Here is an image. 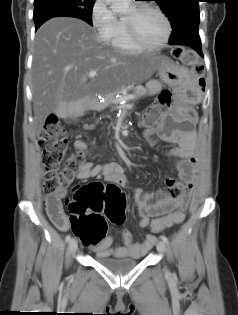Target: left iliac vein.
<instances>
[{
	"label": "left iliac vein",
	"mask_w": 238,
	"mask_h": 315,
	"mask_svg": "<svg viewBox=\"0 0 238 315\" xmlns=\"http://www.w3.org/2000/svg\"><path fill=\"white\" fill-rule=\"evenodd\" d=\"M157 250L159 251V253L164 254L165 250H166V246L164 241L160 240L157 242Z\"/></svg>",
	"instance_id": "1"
}]
</instances>
